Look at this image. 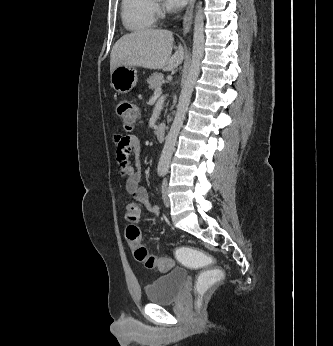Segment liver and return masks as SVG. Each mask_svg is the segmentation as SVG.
I'll list each match as a JSON object with an SVG mask.
<instances>
[{"label":"liver","instance_id":"obj_1","mask_svg":"<svg viewBox=\"0 0 333 346\" xmlns=\"http://www.w3.org/2000/svg\"><path fill=\"white\" fill-rule=\"evenodd\" d=\"M173 42V34L167 30L145 29L126 34L113 46L110 72L122 65L172 71L184 59L181 45L172 55Z\"/></svg>","mask_w":333,"mask_h":346}]
</instances>
